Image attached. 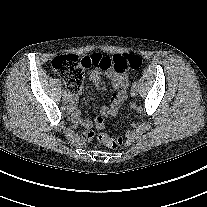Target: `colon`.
I'll return each mask as SVG.
<instances>
[{"mask_svg":"<svg viewBox=\"0 0 207 207\" xmlns=\"http://www.w3.org/2000/svg\"><path fill=\"white\" fill-rule=\"evenodd\" d=\"M142 63V58L135 54H116L113 56L92 54L81 58L75 55H60L52 60L51 66L61 76L67 89L72 93L80 90L85 70L88 68L96 67L101 70L113 69L117 72H123L138 70ZM95 126L98 129H104V119L100 116L96 117ZM94 135L92 130L83 132V137L86 140H91ZM98 139L104 145L114 149L120 147L124 142L122 137L111 138L104 132L99 134Z\"/></svg>","mask_w":207,"mask_h":207,"instance_id":"colon-1","label":"colon"}]
</instances>
